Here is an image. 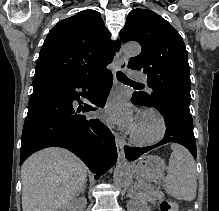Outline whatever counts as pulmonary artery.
I'll use <instances>...</instances> for the list:
<instances>
[{"instance_id": "1", "label": "pulmonary artery", "mask_w": 219, "mask_h": 211, "mask_svg": "<svg viewBox=\"0 0 219 211\" xmlns=\"http://www.w3.org/2000/svg\"><path fill=\"white\" fill-rule=\"evenodd\" d=\"M131 80H143V75H131Z\"/></svg>"}]
</instances>
